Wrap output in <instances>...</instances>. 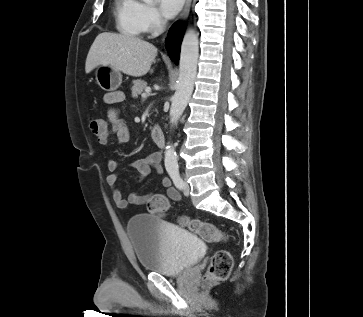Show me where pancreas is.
I'll return each instance as SVG.
<instances>
[{
    "instance_id": "cf45deb5",
    "label": "pancreas",
    "mask_w": 363,
    "mask_h": 317,
    "mask_svg": "<svg viewBox=\"0 0 363 317\" xmlns=\"http://www.w3.org/2000/svg\"><path fill=\"white\" fill-rule=\"evenodd\" d=\"M132 83H133V86L131 87L132 97L137 98L138 95H140L143 92V90L147 88V82L138 79L134 80Z\"/></svg>"
}]
</instances>
